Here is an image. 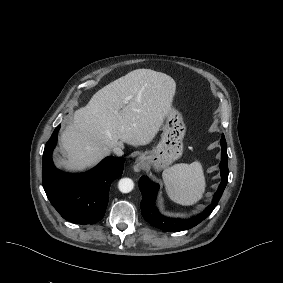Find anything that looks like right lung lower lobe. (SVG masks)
Wrapping results in <instances>:
<instances>
[{"label": "right lung lower lobe", "mask_w": 283, "mask_h": 283, "mask_svg": "<svg viewBox=\"0 0 283 283\" xmlns=\"http://www.w3.org/2000/svg\"><path fill=\"white\" fill-rule=\"evenodd\" d=\"M59 129L60 125L55 128L43 153L44 190L64 219L77 224L96 223L105 214L110 185L122 174L124 159L107 157L95 168L82 174L61 172L52 161Z\"/></svg>", "instance_id": "1"}]
</instances>
